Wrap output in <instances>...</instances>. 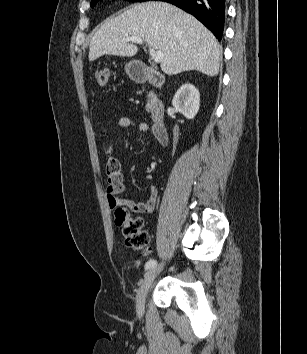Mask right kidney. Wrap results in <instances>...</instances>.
<instances>
[{"label":"right kidney","mask_w":307,"mask_h":354,"mask_svg":"<svg viewBox=\"0 0 307 354\" xmlns=\"http://www.w3.org/2000/svg\"><path fill=\"white\" fill-rule=\"evenodd\" d=\"M172 105L186 118L193 119L200 106L199 90L190 83L182 85L175 93Z\"/></svg>","instance_id":"ca27d5eb"}]
</instances>
